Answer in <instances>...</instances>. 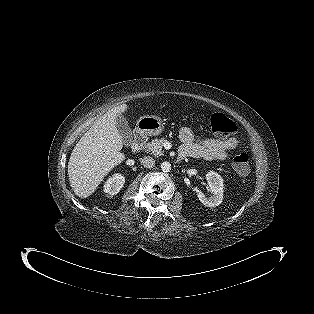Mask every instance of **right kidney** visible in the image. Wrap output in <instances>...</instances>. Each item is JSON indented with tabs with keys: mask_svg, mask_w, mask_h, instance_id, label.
Returning a JSON list of instances; mask_svg holds the SVG:
<instances>
[{
	"mask_svg": "<svg viewBox=\"0 0 314 314\" xmlns=\"http://www.w3.org/2000/svg\"><path fill=\"white\" fill-rule=\"evenodd\" d=\"M125 178L121 174H115L113 177L109 178L104 185V192L109 195L117 194L123 187Z\"/></svg>",
	"mask_w": 314,
	"mask_h": 314,
	"instance_id": "obj_1",
	"label": "right kidney"
}]
</instances>
